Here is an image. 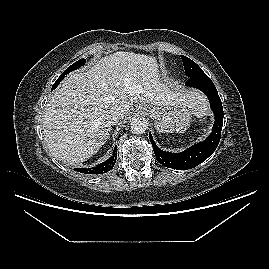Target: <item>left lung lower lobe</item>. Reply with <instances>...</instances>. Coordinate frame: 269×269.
Instances as JSON below:
<instances>
[{"mask_svg":"<svg viewBox=\"0 0 269 269\" xmlns=\"http://www.w3.org/2000/svg\"><path fill=\"white\" fill-rule=\"evenodd\" d=\"M186 85L201 90L208 97L211 109L215 115L212 133L203 142L197 143L186 151L176 154L159 149L151 133H149V139L157 161L165 167L179 170H187L196 167L216 150L220 141L224 117L223 107L217 89L206 74L189 78Z\"/></svg>","mask_w":269,"mask_h":269,"instance_id":"obj_1","label":"left lung lower lobe"}]
</instances>
